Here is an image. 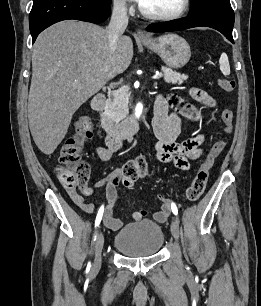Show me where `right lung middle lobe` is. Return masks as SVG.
<instances>
[{
  "label": "right lung middle lobe",
  "instance_id": "1",
  "mask_svg": "<svg viewBox=\"0 0 261 306\" xmlns=\"http://www.w3.org/2000/svg\"><path fill=\"white\" fill-rule=\"evenodd\" d=\"M97 1H99V2H101L103 4H108V5L111 4V0H97Z\"/></svg>",
  "mask_w": 261,
  "mask_h": 306
}]
</instances>
